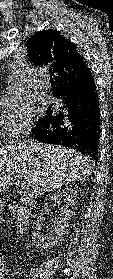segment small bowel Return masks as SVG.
<instances>
[{
	"label": "small bowel",
	"instance_id": "obj_1",
	"mask_svg": "<svg viewBox=\"0 0 113 279\" xmlns=\"http://www.w3.org/2000/svg\"><path fill=\"white\" fill-rule=\"evenodd\" d=\"M4 273H5V270L4 269H0V279H2Z\"/></svg>",
	"mask_w": 113,
	"mask_h": 279
}]
</instances>
